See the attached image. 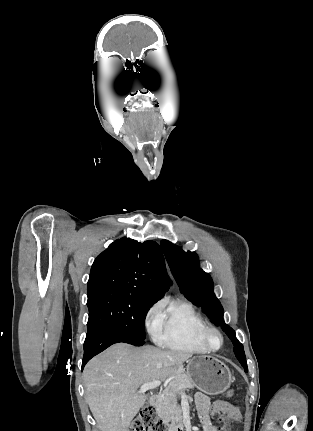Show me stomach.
Instances as JSON below:
<instances>
[{
  "label": "stomach",
  "mask_w": 313,
  "mask_h": 431,
  "mask_svg": "<svg viewBox=\"0 0 313 431\" xmlns=\"http://www.w3.org/2000/svg\"><path fill=\"white\" fill-rule=\"evenodd\" d=\"M185 374L193 380L199 390L209 395L223 393L234 379L222 361L207 355H198L190 359Z\"/></svg>",
  "instance_id": "obj_1"
}]
</instances>
